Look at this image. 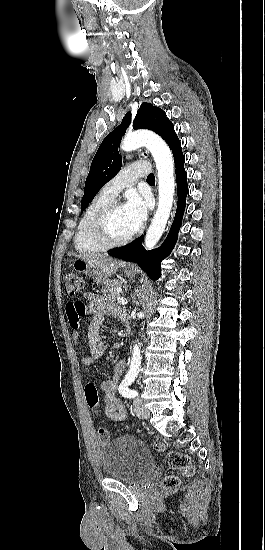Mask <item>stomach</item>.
<instances>
[{
  "label": "stomach",
  "instance_id": "0dacf381",
  "mask_svg": "<svg viewBox=\"0 0 265 550\" xmlns=\"http://www.w3.org/2000/svg\"><path fill=\"white\" fill-rule=\"evenodd\" d=\"M71 266L76 272L89 275L99 283L104 282L106 279V276L100 270H98L95 266H93L92 264H90L89 262L81 258L75 259L71 264ZM125 274L128 277H135L136 271L131 269H125Z\"/></svg>",
  "mask_w": 265,
  "mask_h": 550
}]
</instances>
